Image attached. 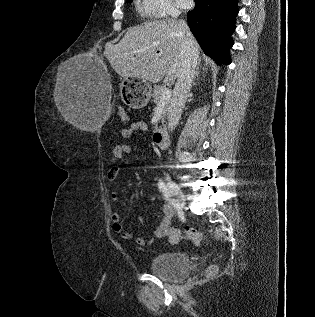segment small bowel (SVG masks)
<instances>
[{"mask_svg": "<svg viewBox=\"0 0 315 317\" xmlns=\"http://www.w3.org/2000/svg\"><path fill=\"white\" fill-rule=\"evenodd\" d=\"M148 131H149V128L145 122L137 121V122H132L128 126L121 128L120 135L123 138H129L136 133H147ZM130 152H131V146L129 144L116 145L113 148L110 162L114 163L115 161L124 158ZM119 173H120V167L112 166L107 173V180L110 182L116 180ZM119 198H120L119 193L112 192L111 199L113 201H118ZM163 213H164V216L162 218V221L160 222L159 226L154 231V237L156 238L167 237L169 228L171 227V220L173 216L171 207L167 204L163 205ZM111 221H112V229L114 230V232L119 234L121 238L124 240L132 239L139 246L150 245L154 241V238L150 240H146L144 237L134 236L131 232L126 230L125 226L121 222V217L118 213H113L111 215ZM139 221L143 223L142 216H139Z\"/></svg>", "mask_w": 315, "mask_h": 317, "instance_id": "1", "label": "small bowel"}]
</instances>
